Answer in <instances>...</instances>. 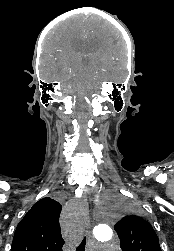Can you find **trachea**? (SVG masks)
<instances>
[{"instance_id": "3493384b", "label": "trachea", "mask_w": 174, "mask_h": 251, "mask_svg": "<svg viewBox=\"0 0 174 251\" xmlns=\"http://www.w3.org/2000/svg\"><path fill=\"white\" fill-rule=\"evenodd\" d=\"M85 245H86V238L84 237L80 245L76 248V251H85Z\"/></svg>"}]
</instances>
